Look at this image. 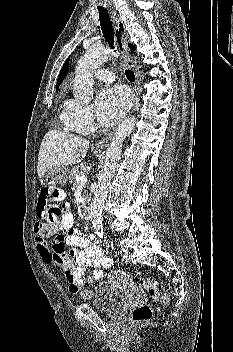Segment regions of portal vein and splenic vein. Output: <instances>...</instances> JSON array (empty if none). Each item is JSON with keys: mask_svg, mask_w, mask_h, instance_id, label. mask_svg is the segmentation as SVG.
<instances>
[{"mask_svg": "<svg viewBox=\"0 0 233 352\" xmlns=\"http://www.w3.org/2000/svg\"><path fill=\"white\" fill-rule=\"evenodd\" d=\"M76 180L81 185H84L87 182V177L85 175H77Z\"/></svg>", "mask_w": 233, "mask_h": 352, "instance_id": "obj_1", "label": "portal vein and splenic vein"}]
</instances>
